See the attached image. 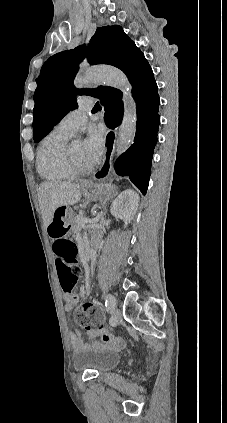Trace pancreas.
Instances as JSON below:
<instances>
[{
	"label": "pancreas",
	"instance_id": "pancreas-1",
	"mask_svg": "<svg viewBox=\"0 0 227 423\" xmlns=\"http://www.w3.org/2000/svg\"><path fill=\"white\" fill-rule=\"evenodd\" d=\"M78 217H83V215H75L74 219H72L71 229H72L73 233H78V231H81V229H84V227H82L81 223H79V221H77Z\"/></svg>",
	"mask_w": 227,
	"mask_h": 423
}]
</instances>
